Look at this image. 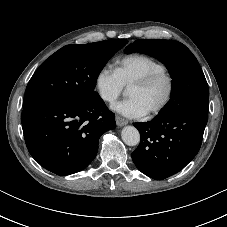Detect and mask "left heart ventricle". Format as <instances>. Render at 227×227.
<instances>
[{"mask_svg":"<svg viewBox=\"0 0 227 227\" xmlns=\"http://www.w3.org/2000/svg\"><path fill=\"white\" fill-rule=\"evenodd\" d=\"M167 91L168 81L166 78H159L147 87H130L127 94L137 99L148 113L162 103Z\"/></svg>","mask_w":227,"mask_h":227,"instance_id":"obj_1","label":"left heart ventricle"}]
</instances>
